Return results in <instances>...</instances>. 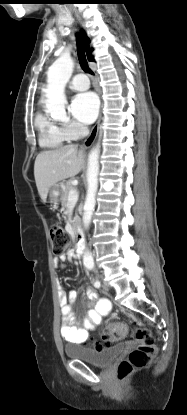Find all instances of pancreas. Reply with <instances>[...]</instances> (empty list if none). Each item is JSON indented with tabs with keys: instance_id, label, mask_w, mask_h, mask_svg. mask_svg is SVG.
<instances>
[{
	"instance_id": "cf45deb5",
	"label": "pancreas",
	"mask_w": 187,
	"mask_h": 415,
	"mask_svg": "<svg viewBox=\"0 0 187 415\" xmlns=\"http://www.w3.org/2000/svg\"><path fill=\"white\" fill-rule=\"evenodd\" d=\"M74 189V186L72 184L71 181H67L65 184V188L63 190V195H62V199H61V205L63 208H67L68 206V197H69V192ZM78 221V215L76 214L75 218H74V222L75 224Z\"/></svg>"
}]
</instances>
